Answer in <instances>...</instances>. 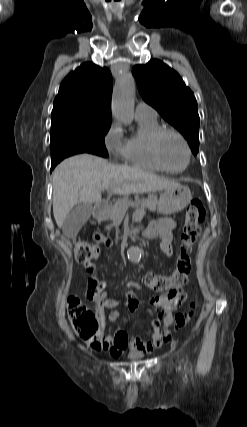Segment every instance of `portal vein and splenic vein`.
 I'll return each mask as SVG.
<instances>
[{"label":"portal vein and splenic vein","mask_w":247,"mask_h":427,"mask_svg":"<svg viewBox=\"0 0 247 427\" xmlns=\"http://www.w3.org/2000/svg\"><path fill=\"white\" fill-rule=\"evenodd\" d=\"M130 205H131V206H135V205H137V202H133V201H132V202L129 204V206H130Z\"/></svg>","instance_id":"18ae733b"}]
</instances>
